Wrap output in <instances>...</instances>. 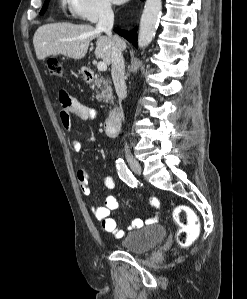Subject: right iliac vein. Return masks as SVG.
<instances>
[{
	"instance_id": "obj_1",
	"label": "right iliac vein",
	"mask_w": 247,
	"mask_h": 299,
	"mask_svg": "<svg viewBox=\"0 0 247 299\" xmlns=\"http://www.w3.org/2000/svg\"><path fill=\"white\" fill-rule=\"evenodd\" d=\"M127 161L131 167V169L136 173V174H141L142 172V167L140 163L131 155H127Z\"/></svg>"
}]
</instances>
